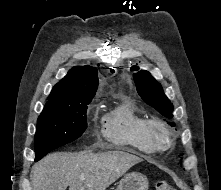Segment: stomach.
<instances>
[{"label":"stomach","mask_w":221,"mask_h":190,"mask_svg":"<svg viewBox=\"0 0 221 190\" xmlns=\"http://www.w3.org/2000/svg\"><path fill=\"white\" fill-rule=\"evenodd\" d=\"M149 182L145 175L133 172L126 174L116 190H148Z\"/></svg>","instance_id":"obj_1"}]
</instances>
